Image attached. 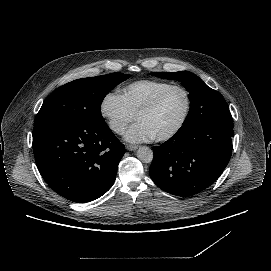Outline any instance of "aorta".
Returning a JSON list of instances; mask_svg holds the SVG:
<instances>
[{
	"label": "aorta",
	"instance_id": "1",
	"mask_svg": "<svg viewBox=\"0 0 271 271\" xmlns=\"http://www.w3.org/2000/svg\"><path fill=\"white\" fill-rule=\"evenodd\" d=\"M137 157L142 163H151L153 160V151L148 147H141L137 152Z\"/></svg>",
	"mask_w": 271,
	"mask_h": 271
}]
</instances>
